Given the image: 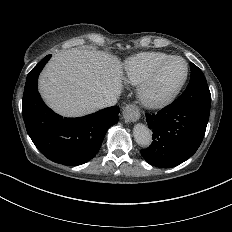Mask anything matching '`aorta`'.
<instances>
[{
    "mask_svg": "<svg viewBox=\"0 0 232 232\" xmlns=\"http://www.w3.org/2000/svg\"><path fill=\"white\" fill-rule=\"evenodd\" d=\"M133 135L138 145L148 147L152 143V133L144 124H136L133 128Z\"/></svg>",
    "mask_w": 232,
    "mask_h": 232,
    "instance_id": "1",
    "label": "aorta"
}]
</instances>
